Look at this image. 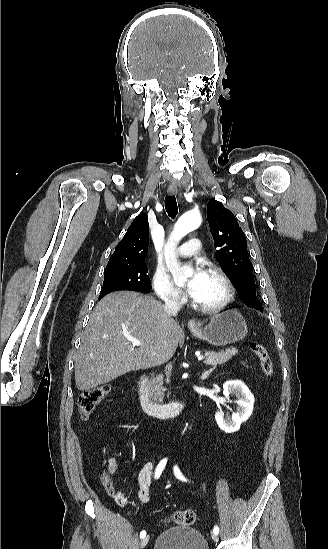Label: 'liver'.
<instances>
[{"label":"liver","instance_id":"obj_1","mask_svg":"<svg viewBox=\"0 0 328 549\" xmlns=\"http://www.w3.org/2000/svg\"><path fill=\"white\" fill-rule=\"evenodd\" d=\"M131 339L142 345L135 349ZM179 343L176 321L150 295L118 291L96 305L75 359V383L88 391L129 371L169 361Z\"/></svg>","mask_w":328,"mask_h":549}]
</instances>
